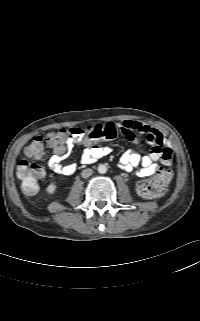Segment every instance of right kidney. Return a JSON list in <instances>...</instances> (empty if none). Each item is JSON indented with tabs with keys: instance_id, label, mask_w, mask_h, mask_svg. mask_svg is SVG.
Instances as JSON below:
<instances>
[{
	"instance_id": "right-kidney-1",
	"label": "right kidney",
	"mask_w": 200,
	"mask_h": 321,
	"mask_svg": "<svg viewBox=\"0 0 200 321\" xmlns=\"http://www.w3.org/2000/svg\"><path fill=\"white\" fill-rule=\"evenodd\" d=\"M46 191L49 195H52L55 193L56 191V184L54 182H52L51 184L48 185V187L46 188Z\"/></svg>"
}]
</instances>
